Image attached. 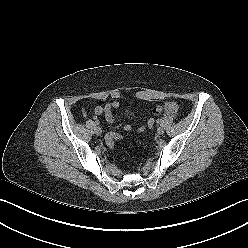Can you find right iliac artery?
I'll list each match as a JSON object with an SVG mask.
<instances>
[{
	"mask_svg": "<svg viewBox=\"0 0 248 248\" xmlns=\"http://www.w3.org/2000/svg\"><path fill=\"white\" fill-rule=\"evenodd\" d=\"M99 124V122L98 121H95V125H98Z\"/></svg>",
	"mask_w": 248,
	"mask_h": 248,
	"instance_id": "obj_1",
	"label": "right iliac artery"
}]
</instances>
